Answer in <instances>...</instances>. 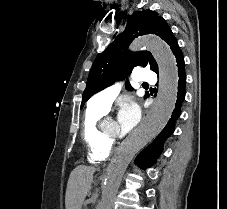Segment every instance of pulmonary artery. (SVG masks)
Masks as SVG:
<instances>
[{
    "label": "pulmonary artery",
    "instance_id": "e3ab8cb5",
    "mask_svg": "<svg viewBox=\"0 0 227 209\" xmlns=\"http://www.w3.org/2000/svg\"><path fill=\"white\" fill-rule=\"evenodd\" d=\"M131 74L138 75L139 78L135 79L136 83H154L156 78V73H152V70H132ZM120 86V83L115 82L109 88H101V91H97V95H90L87 105L108 109L114 96L119 92Z\"/></svg>",
    "mask_w": 227,
    "mask_h": 209
}]
</instances>
